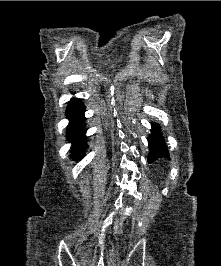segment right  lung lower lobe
<instances>
[{"mask_svg": "<svg viewBox=\"0 0 221 266\" xmlns=\"http://www.w3.org/2000/svg\"><path fill=\"white\" fill-rule=\"evenodd\" d=\"M85 106L83 102L76 98L71 99L67 106L66 116L70 119V123L67 129V137L72 144L71 156L75 160H79L84 156L85 149L87 146L85 143V127L83 123L85 121L84 117Z\"/></svg>", "mask_w": 221, "mask_h": 266, "instance_id": "obj_1", "label": "right lung lower lobe"}]
</instances>
